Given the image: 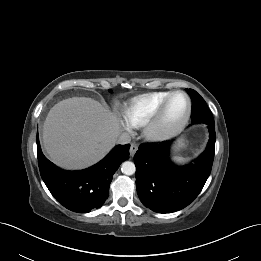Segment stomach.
Here are the masks:
<instances>
[{
  "mask_svg": "<svg viewBox=\"0 0 261 261\" xmlns=\"http://www.w3.org/2000/svg\"><path fill=\"white\" fill-rule=\"evenodd\" d=\"M186 147V140L181 138L173 147L174 151H181Z\"/></svg>",
  "mask_w": 261,
  "mask_h": 261,
  "instance_id": "stomach-1",
  "label": "stomach"
}]
</instances>
